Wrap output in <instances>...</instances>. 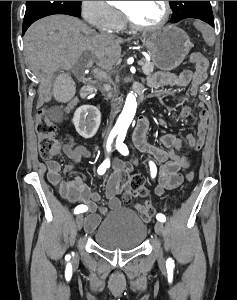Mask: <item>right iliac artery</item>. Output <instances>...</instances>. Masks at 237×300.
I'll return each instance as SVG.
<instances>
[{
  "label": "right iliac artery",
  "instance_id": "obj_1",
  "mask_svg": "<svg viewBox=\"0 0 237 300\" xmlns=\"http://www.w3.org/2000/svg\"><path fill=\"white\" fill-rule=\"evenodd\" d=\"M118 134V132H112L110 135H109V138L107 140V151L109 152L111 150V143L113 141V138ZM110 167V160L109 159H106L99 167H98V174L99 175H103L105 172H106V169ZM88 210V207L86 205H78L75 210H74V213L75 214H79V213H83L85 211ZM66 258L69 259L70 258V255H66Z\"/></svg>",
  "mask_w": 237,
  "mask_h": 300
}]
</instances>
